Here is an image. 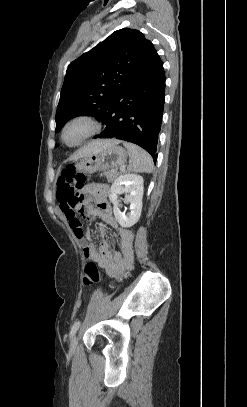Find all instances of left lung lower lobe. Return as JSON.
Wrapping results in <instances>:
<instances>
[{"instance_id": "0a47b994", "label": "left lung lower lobe", "mask_w": 247, "mask_h": 407, "mask_svg": "<svg viewBox=\"0 0 247 407\" xmlns=\"http://www.w3.org/2000/svg\"><path fill=\"white\" fill-rule=\"evenodd\" d=\"M165 74L157 51L113 101L95 138H115L139 145L157 159V141L165 102Z\"/></svg>"}]
</instances>
